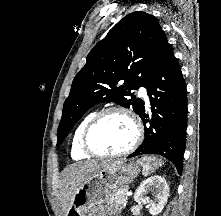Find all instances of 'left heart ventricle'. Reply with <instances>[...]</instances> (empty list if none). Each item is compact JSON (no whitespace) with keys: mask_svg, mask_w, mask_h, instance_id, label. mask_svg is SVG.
Listing matches in <instances>:
<instances>
[{"mask_svg":"<svg viewBox=\"0 0 221 216\" xmlns=\"http://www.w3.org/2000/svg\"><path fill=\"white\" fill-rule=\"evenodd\" d=\"M133 139L134 128L131 121L123 114L112 113L93 128L89 144L95 151L114 153L127 148Z\"/></svg>","mask_w":221,"mask_h":216,"instance_id":"1","label":"left heart ventricle"}]
</instances>
